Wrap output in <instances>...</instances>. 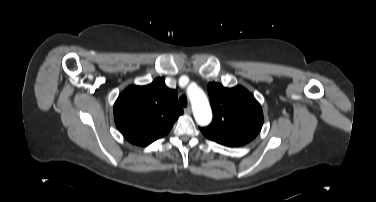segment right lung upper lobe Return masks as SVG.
I'll return each instance as SVG.
<instances>
[{"instance_id": "right-lung-upper-lobe-1", "label": "right lung upper lobe", "mask_w": 376, "mask_h": 202, "mask_svg": "<svg viewBox=\"0 0 376 202\" xmlns=\"http://www.w3.org/2000/svg\"><path fill=\"white\" fill-rule=\"evenodd\" d=\"M177 98L164 78L146 86H129L114 104L116 126L130 143L147 146L165 136L183 113Z\"/></svg>"}]
</instances>
